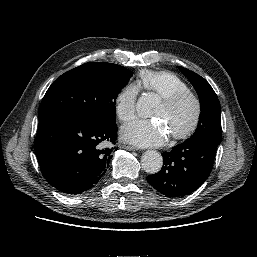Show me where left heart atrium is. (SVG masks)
<instances>
[{"label":"left heart atrium","mask_w":257,"mask_h":257,"mask_svg":"<svg viewBox=\"0 0 257 257\" xmlns=\"http://www.w3.org/2000/svg\"><path fill=\"white\" fill-rule=\"evenodd\" d=\"M122 138L140 146H159L167 141L163 126L157 121L134 120L121 130Z\"/></svg>","instance_id":"39dd6f15"}]
</instances>
